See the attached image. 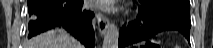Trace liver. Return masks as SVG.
<instances>
[{
  "label": "liver",
  "instance_id": "obj_1",
  "mask_svg": "<svg viewBox=\"0 0 213 48\" xmlns=\"http://www.w3.org/2000/svg\"><path fill=\"white\" fill-rule=\"evenodd\" d=\"M25 48H83V45L64 30H49L30 39Z\"/></svg>",
  "mask_w": 213,
  "mask_h": 48
}]
</instances>
